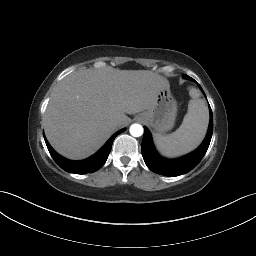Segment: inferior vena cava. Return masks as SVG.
I'll return each instance as SVG.
<instances>
[{"label":"inferior vena cava","mask_w":256,"mask_h":256,"mask_svg":"<svg viewBox=\"0 0 256 256\" xmlns=\"http://www.w3.org/2000/svg\"><path fill=\"white\" fill-rule=\"evenodd\" d=\"M113 128L115 130H120L122 128V122L120 120H115L113 122Z\"/></svg>","instance_id":"inferior-vena-cava-1"}]
</instances>
